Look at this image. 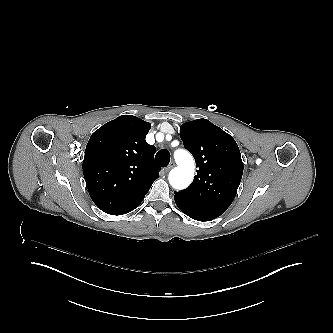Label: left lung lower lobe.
<instances>
[{
    "mask_svg": "<svg viewBox=\"0 0 333 333\" xmlns=\"http://www.w3.org/2000/svg\"><path fill=\"white\" fill-rule=\"evenodd\" d=\"M176 205L187 216L198 221H210L220 216L224 211L204 208L174 196Z\"/></svg>",
    "mask_w": 333,
    "mask_h": 333,
    "instance_id": "left-lung-lower-lobe-1",
    "label": "left lung lower lobe"
}]
</instances>
